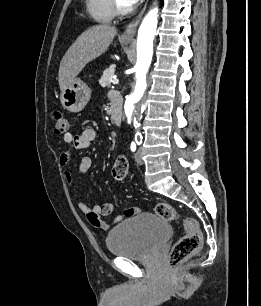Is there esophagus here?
Masks as SVG:
<instances>
[{"mask_svg":"<svg viewBox=\"0 0 261 306\" xmlns=\"http://www.w3.org/2000/svg\"><path fill=\"white\" fill-rule=\"evenodd\" d=\"M147 3L145 4L142 11L136 16L125 28L124 32L121 34L120 38L126 41H132L134 39L137 26L146 10Z\"/></svg>","mask_w":261,"mask_h":306,"instance_id":"esophagus-1","label":"esophagus"}]
</instances>
